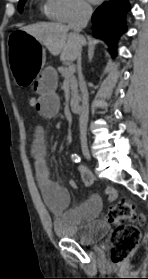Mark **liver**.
I'll use <instances>...</instances> for the list:
<instances>
[{"instance_id": "1", "label": "liver", "mask_w": 148, "mask_h": 279, "mask_svg": "<svg viewBox=\"0 0 148 279\" xmlns=\"http://www.w3.org/2000/svg\"><path fill=\"white\" fill-rule=\"evenodd\" d=\"M21 30L35 37L52 55H60L61 61H75L85 44L82 36L68 33L69 28L61 23H37Z\"/></svg>"}]
</instances>
